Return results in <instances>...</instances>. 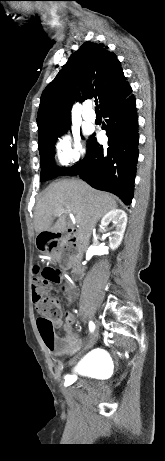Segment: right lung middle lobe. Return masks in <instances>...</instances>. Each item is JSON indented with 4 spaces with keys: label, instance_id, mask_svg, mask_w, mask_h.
I'll list each match as a JSON object with an SVG mask.
<instances>
[{
    "label": "right lung middle lobe",
    "instance_id": "dd1d6c3e",
    "mask_svg": "<svg viewBox=\"0 0 165 461\" xmlns=\"http://www.w3.org/2000/svg\"><path fill=\"white\" fill-rule=\"evenodd\" d=\"M70 126L71 122L66 123L56 130L45 133L42 138L38 139L41 167L40 181L53 179L63 171V169L55 170L53 163L54 144L61 134L70 129Z\"/></svg>",
    "mask_w": 165,
    "mask_h": 461
}]
</instances>
